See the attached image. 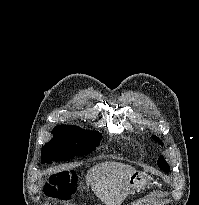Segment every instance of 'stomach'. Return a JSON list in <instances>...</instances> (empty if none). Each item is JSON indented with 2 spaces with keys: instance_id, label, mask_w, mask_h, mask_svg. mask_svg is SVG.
Listing matches in <instances>:
<instances>
[{
  "instance_id": "obj_1",
  "label": "stomach",
  "mask_w": 199,
  "mask_h": 205,
  "mask_svg": "<svg viewBox=\"0 0 199 205\" xmlns=\"http://www.w3.org/2000/svg\"><path fill=\"white\" fill-rule=\"evenodd\" d=\"M148 182V176L145 173L134 172L128 176L126 180V188L128 191L140 190L145 187Z\"/></svg>"
}]
</instances>
